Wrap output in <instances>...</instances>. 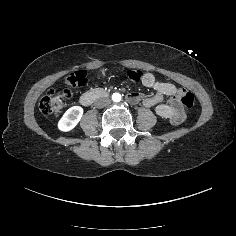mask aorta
I'll return each instance as SVG.
<instances>
[{
	"label": "aorta",
	"mask_w": 236,
	"mask_h": 236,
	"mask_svg": "<svg viewBox=\"0 0 236 236\" xmlns=\"http://www.w3.org/2000/svg\"><path fill=\"white\" fill-rule=\"evenodd\" d=\"M112 100H113L114 102H120V101H121V95H120L119 93H114V94L112 95Z\"/></svg>",
	"instance_id": "obj_1"
}]
</instances>
